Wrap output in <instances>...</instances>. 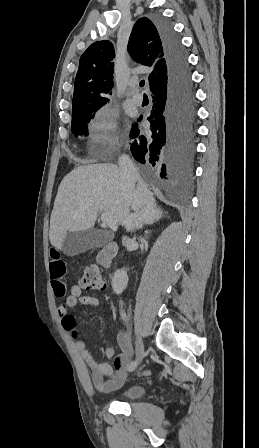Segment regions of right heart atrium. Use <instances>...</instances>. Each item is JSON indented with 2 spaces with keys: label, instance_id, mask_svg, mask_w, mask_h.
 <instances>
[{
  "label": "right heart atrium",
  "instance_id": "obj_1",
  "mask_svg": "<svg viewBox=\"0 0 259 448\" xmlns=\"http://www.w3.org/2000/svg\"><path fill=\"white\" fill-rule=\"evenodd\" d=\"M87 146L99 152H115L119 146L118 127L114 117L105 109L98 111L90 121Z\"/></svg>",
  "mask_w": 259,
  "mask_h": 448
}]
</instances>
